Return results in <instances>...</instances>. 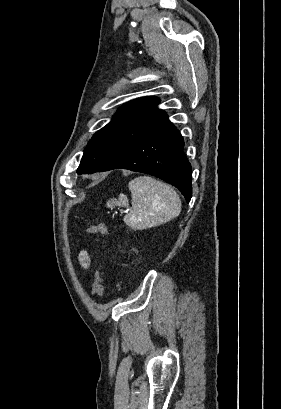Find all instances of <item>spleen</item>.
I'll return each instance as SVG.
<instances>
[{"mask_svg": "<svg viewBox=\"0 0 281 409\" xmlns=\"http://www.w3.org/2000/svg\"><path fill=\"white\" fill-rule=\"evenodd\" d=\"M129 188L132 192V207L128 215H125L124 223L131 229L142 231L159 227L180 215L179 194L166 182L155 180L151 176H137L130 180ZM114 205L129 209L126 194L121 192L118 200L117 198L108 200L109 209H113Z\"/></svg>", "mask_w": 281, "mask_h": 409, "instance_id": "1", "label": "spleen"}]
</instances>
